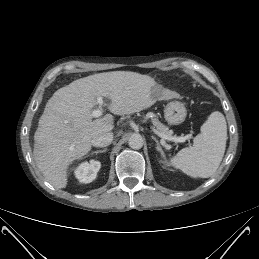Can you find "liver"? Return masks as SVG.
Instances as JSON below:
<instances>
[{
  "instance_id": "1",
  "label": "liver",
  "mask_w": 259,
  "mask_h": 259,
  "mask_svg": "<svg viewBox=\"0 0 259 259\" xmlns=\"http://www.w3.org/2000/svg\"><path fill=\"white\" fill-rule=\"evenodd\" d=\"M157 90L153 78L130 71L98 73L58 89L48 100L34 134L33 155L39 171L55 188H65L68 165L89 153L94 138L114 128L110 114L93 120L97 98H108L113 114L127 115L152 106L156 100L180 96Z\"/></svg>"
}]
</instances>
